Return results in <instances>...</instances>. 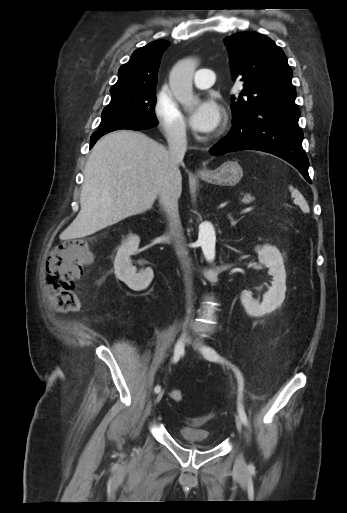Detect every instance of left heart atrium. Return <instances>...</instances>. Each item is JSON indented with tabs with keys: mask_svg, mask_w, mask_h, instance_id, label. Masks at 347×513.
<instances>
[{
	"mask_svg": "<svg viewBox=\"0 0 347 513\" xmlns=\"http://www.w3.org/2000/svg\"><path fill=\"white\" fill-rule=\"evenodd\" d=\"M222 121V109L213 97L200 100L191 110L189 122L191 127L199 132L209 134L214 132Z\"/></svg>",
	"mask_w": 347,
	"mask_h": 513,
	"instance_id": "left-heart-atrium-1",
	"label": "left heart atrium"
}]
</instances>
